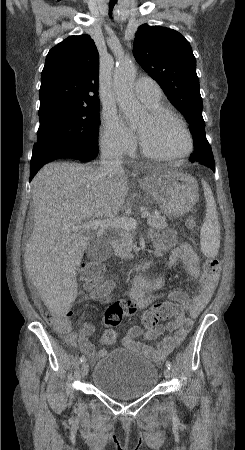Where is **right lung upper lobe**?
I'll return each mask as SVG.
<instances>
[{
    "label": "right lung upper lobe",
    "instance_id": "obj_1",
    "mask_svg": "<svg viewBox=\"0 0 245 450\" xmlns=\"http://www.w3.org/2000/svg\"><path fill=\"white\" fill-rule=\"evenodd\" d=\"M99 55L88 35L71 36L53 47L41 74L40 109L53 104L99 105Z\"/></svg>",
    "mask_w": 245,
    "mask_h": 450
}]
</instances>
